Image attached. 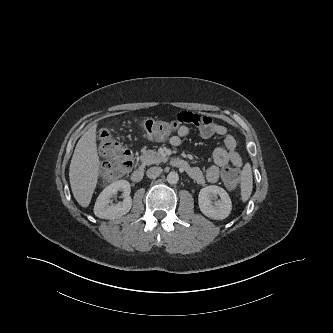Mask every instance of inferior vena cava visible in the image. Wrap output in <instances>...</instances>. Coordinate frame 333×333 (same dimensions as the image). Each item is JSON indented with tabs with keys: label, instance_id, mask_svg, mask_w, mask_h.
<instances>
[{
	"label": "inferior vena cava",
	"instance_id": "1",
	"mask_svg": "<svg viewBox=\"0 0 333 333\" xmlns=\"http://www.w3.org/2000/svg\"><path fill=\"white\" fill-rule=\"evenodd\" d=\"M162 173L161 167H151L147 170L146 175L148 178L155 179Z\"/></svg>",
	"mask_w": 333,
	"mask_h": 333
}]
</instances>
